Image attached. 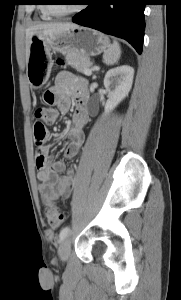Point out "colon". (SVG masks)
<instances>
[{"label":"colon","mask_w":181,"mask_h":300,"mask_svg":"<svg viewBox=\"0 0 181 300\" xmlns=\"http://www.w3.org/2000/svg\"><path fill=\"white\" fill-rule=\"evenodd\" d=\"M44 99L47 101V105L36 108L34 112V116L38 120V122L34 125V142L37 147V151L44 146V143L48 138V131L45 124L53 123L58 117V112L53 107L55 100L54 95L46 92L44 94ZM43 160V157L39 156L36 158V163L42 164ZM44 214L47 222L52 227L61 225L65 220V214L54 203H49L46 206Z\"/></svg>","instance_id":"obj_1"}]
</instances>
